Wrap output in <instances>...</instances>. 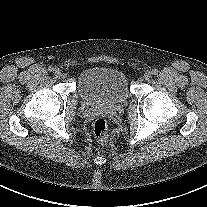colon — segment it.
Here are the masks:
<instances>
[{
    "instance_id": "5ec220e1",
    "label": "colon",
    "mask_w": 207,
    "mask_h": 207,
    "mask_svg": "<svg viewBox=\"0 0 207 207\" xmlns=\"http://www.w3.org/2000/svg\"><path fill=\"white\" fill-rule=\"evenodd\" d=\"M93 133L100 142H106L108 139V124L104 118H98L93 124Z\"/></svg>"
}]
</instances>
